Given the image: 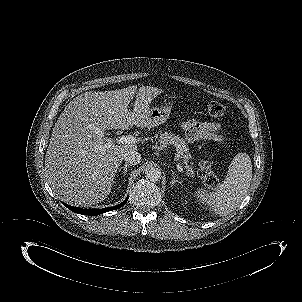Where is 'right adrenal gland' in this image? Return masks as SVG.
<instances>
[{"label":"right adrenal gland","mask_w":302,"mask_h":302,"mask_svg":"<svg viewBox=\"0 0 302 302\" xmlns=\"http://www.w3.org/2000/svg\"><path fill=\"white\" fill-rule=\"evenodd\" d=\"M130 166V164H125L123 167H120L119 169H118V172H120L121 170H123L124 172V176L126 175V173H127V168Z\"/></svg>","instance_id":"obj_1"}]
</instances>
